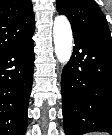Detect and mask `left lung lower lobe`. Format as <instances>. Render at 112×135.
<instances>
[{
    "mask_svg": "<svg viewBox=\"0 0 112 135\" xmlns=\"http://www.w3.org/2000/svg\"><path fill=\"white\" fill-rule=\"evenodd\" d=\"M73 53L61 77L66 135H112V40L73 34Z\"/></svg>",
    "mask_w": 112,
    "mask_h": 135,
    "instance_id": "0a47b994",
    "label": "left lung lower lobe"
}]
</instances>
